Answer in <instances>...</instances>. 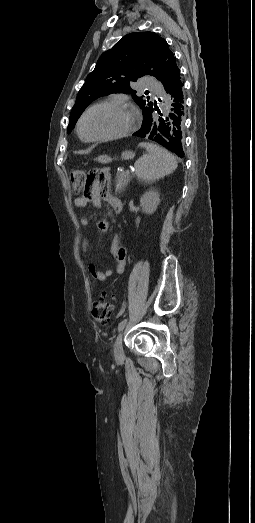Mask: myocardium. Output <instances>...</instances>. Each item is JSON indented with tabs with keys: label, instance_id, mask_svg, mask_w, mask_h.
Returning <instances> with one entry per match:
<instances>
[{
	"label": "myocardium",
	"instance_id": "obj_1",
	"mask_svg": "<svg viewBox=\"0 0 255 523\" xmlns=\"http://www.w3.org/2000/svg\"><path fill=\"white\" fill-rule=\"evenodd\" d=\"M99 106H123V107H129L133 110L134 112V120H133V123L132 125L124 132L120 133V134H117V135H113V136H109V137H104V138H96V139H88V138H85L82 134V124H83V120L85 118V116L94 108L96 107H99ZM141 115H140V112L138 110V108L136 107L135 104L131 103V102H127V101H102V102H98V103H95L91 106H89L80 116L79 120H78V124H77V132H78V135L79 137L86 141V142H89V143H104V142H109V141H115V140H119V139H123V138H126L128 136H131L134 132H136V130L139 128L140 124H141Z\"/></svg>",
	"mask_w": 255,
	"mask_h": 523
}]
</instances>
